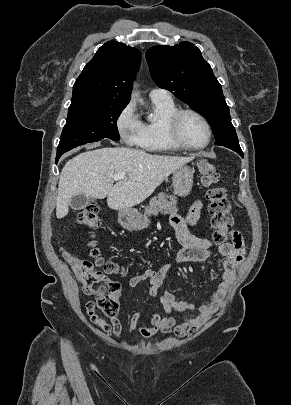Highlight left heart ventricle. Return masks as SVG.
<instances>
[{
    "label": "left heart ventricle",
    "mask_w": 291,
    "mask_h": 405,
    "mask_svg": "<svg viewBox=\"0 0 291 405\" xmlns=\"http://www.w3.org/2000/svg\"><path fill=\"white\" fill-rule=\"evenodd\" d=\"M180 131L183 140L189 145L201 146L207 140V130L195 116H184L181 121Z\"/></svg>",
    "instance_id": "obj_1"
}]
</instances>
